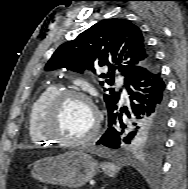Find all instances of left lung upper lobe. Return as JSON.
Masks as SVG:
<instances>
[{
    "instance_id": "obj_1",
    "label": "left lung upper lobe",
    "mask_w": 188,
    "mask_h": 189,
    "mask_svg": "<svg viewBox=\"0 0 188 189\" xmlns=\"http://www.w3.org/2000/svg\"><path fill=\"white\" fill-rule=\"evenodd\" d=\"M154 59L139 27L127 20L114 18L100 21L78 35L76 39L63 43L54 52L45 69L63 67L81 73L87 68L95 73L94 66L107 65L112 73L106 76L102 74L100 77H109L106 82L111 85L114 82L115 69L126 77V82L136 69ZM104 90H109V94L104 95L109 114L118 106L120 92ZM165 127L166 125L159 127L142 125L133 129L127 148L144 146L152 152H160Z\"/></svg>"
}]
</instances>
